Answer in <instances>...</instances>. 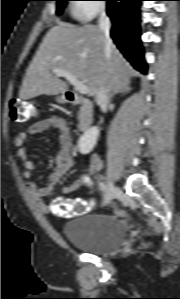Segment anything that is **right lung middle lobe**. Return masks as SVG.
Returning <instances> with one entry per match:
<instances>
[{
	"label": "right lung middle lobe",
	"instance_id": "1",
	"mask_svg": "<svg viewBox=\"0 0 180 299\" xmlns=\"http://www.w3.org/2000/svg\"><path fill=\"white\" fill-rule=\"evenodd\" d=\"M56 1H58L56 13L61 14L66 5V2L69 0H56Z\"/></svg>",
	"mask_w": 180,
	"mask_h": 299
}]
</instances>
